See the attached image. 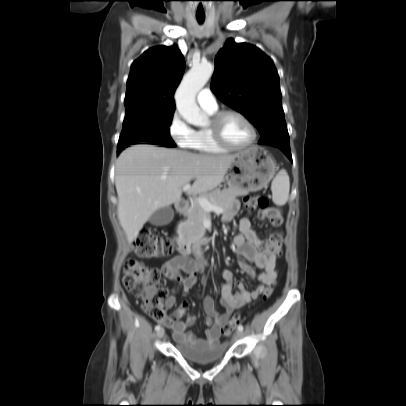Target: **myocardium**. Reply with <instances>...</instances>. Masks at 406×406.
<instances>
[{
  "label": "myocardium",
  "instance_id": "f54148a6",
  "mask_svg": "<svg viewBox=\"0 0 406 406\" xmlns=\"http://www.w3.org/2000/svg\"><path fill=\"white\" fill-rule=\"evenodd\" d=\"M227 115H235L240 118L250 129L251 138L248 143L242 146H234L226 142L222 134V122ZM208 130L215 143L226 150L241 151L251 147L257 140V130L251 120L242 112L235 109H224L217 111L211 116Z\"/></svg>",
  "mask_w": 406,
  "mask_h": 406
}]
</instances>
